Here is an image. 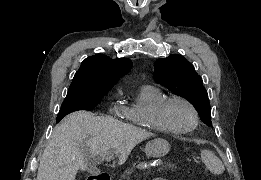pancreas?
Masks as SVG:
<instances>
[{"instance_id":"obj_1","label":"pancreas","mask_w":261,"mask_h":180,"mask_svg":"<svg viewBox=\"0 0 261 180\" xmlns=\"http://www.w3.org/2000/svg\"><path fill=\"white\" fill-rule=\"evenodd\" d=\"M145 159H133L132 162H130V165L128 166V169H125L124 171H120V176L122 178H129V176H133L134 178H140V173H135L134 170H137V167L139 164H145ZM178 162L173 159H165L161 160V165H159V170H173L178 167Z\"/></svg>"}]
</instances>
